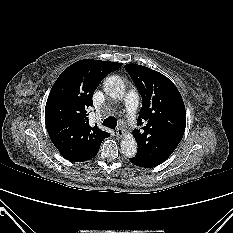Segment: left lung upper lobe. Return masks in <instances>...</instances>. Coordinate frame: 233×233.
I'll use <instances>...</instances> for the list:
<instances>
[{
  "instance_id": "obj_1",
  "label": "left lung upper lobe",
  "mask_w": 233,
  "mask_h": 233,
  "mask_svg": "<svg viewBox=\"0 0 233 233\" xmlns=\"http://www.w3.org/2000/svg\"><path fill=\"white\" fill-rule=\"evenodd\" d=\"M125 69L142 97L137 120L141 130L133 131L138 145L135 157L155 167L173 153L183 137L184 102L176 86L163 74L138 64H127Z\"/></svg>"
}]
</instances>
